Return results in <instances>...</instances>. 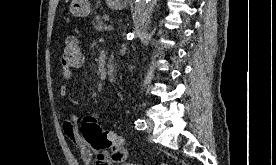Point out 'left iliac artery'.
Instances as JSON below:
<instances>
[{
  "label": "left iliac artery",
  "mask_w": 276,
  "mask_h": 165,
  "mask_svg": "<svg viewBox=\"0 0 276 165\" xmlns=\"http://www.w3.org/2000/svg\"><path fill=\"white\" fill-rule=\"evenodd\" d=\"M135 128L137 130H145L147 128L146 121L142 119H138L137 121H135Z\"/></svg>",
  "instance_id": "obj_1"
}]
</instances>
